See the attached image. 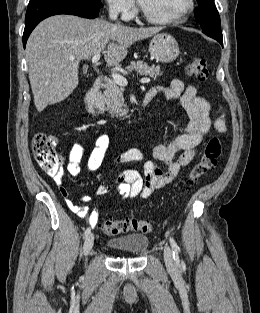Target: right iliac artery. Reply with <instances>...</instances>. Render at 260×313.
Instances as JSON below:
<instances>
[{"instance_id": "82829eb1", "label": "right iliac artery", "mask_w": 260, "mask_h": 313, "mask_svg": "<svg viewBox=\"0 0 260 313\" xmlns=\"http://www.w3.org/2000/svg\"><path fill=\"white\" fill-rule=\"evenodd\" d=\"M89 233H90V228H87L84 232V236L87 237Z\"/></svg>"}]
</instances>
